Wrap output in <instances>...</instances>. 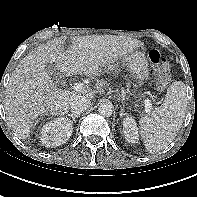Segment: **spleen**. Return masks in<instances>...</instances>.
<instances>
[{
    "mask_svg": "<svg viewBox=\"0 0 197 197\" xmlns=\"http://www.w3.org/2000/svg\"><path fill=\"white\" fill-rule=\"evenodd\" d=\"M186 107V86L182 81H175L167 89L162 105L139 120L141 138L148 152H159L173 141L183 123Z\"/></svg>",
    "mask_w": 197,
    "mask_h": 197,
    "instance_id": "1",
    "label": "spleen"
}]
</instances>
